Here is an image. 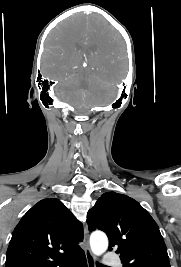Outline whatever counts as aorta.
<instances>
[{"mask_svg":"<svg viewBox=\"0 0 181 267\" xmlns=\"http://www.w3.org/2000/svg\"><path fill=\"white\" fill-rule=\"evenodd\" d=\"M90 247L92 252L99 256L108 248V238L103 232H94L90 236Z\"/></svg>","mask_w":181,"mask_h":267,"instance_id":"aorta-1","label":"aorta"}]
</instances>
